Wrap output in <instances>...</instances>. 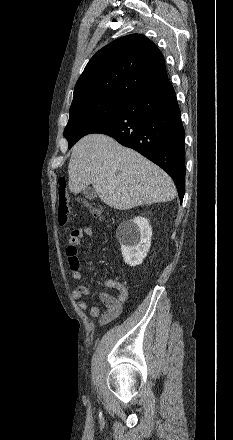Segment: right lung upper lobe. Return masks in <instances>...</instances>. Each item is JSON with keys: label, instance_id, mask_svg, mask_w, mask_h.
<instances>
[{"label": "right lung upper lobe", "instance_id": "obj_1", "mask_svg": "<svg viewBox=\"0 0 233 440\" xmlns=\"http://www.w3.org/2000/svg\"><path fill=\"white\" fill-rule=\"evenodd\" d=\"M168 81L164 57L140 34L121 37L100 49L78 79L72 103L89 98L130 100Z\"/></svg>", "mask_w": 233, "mask_h": 440}]
</instances>
